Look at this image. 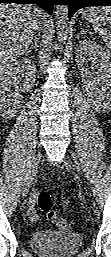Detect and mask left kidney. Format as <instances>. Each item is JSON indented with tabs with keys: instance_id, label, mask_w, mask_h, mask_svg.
Masks as SVG:
<instances>
[{
	"instance_id": "1",
	"label": "left kidney",
	"mask_w": 111,
	"mask_h": 257,
	"mask_svg": "<svg viewBox=\"0 0 111 257\" xmlns=\"http://www.w3.org/2000/svg\"><path fill=\"white\" fill-rule=\"evenodd\" d=\"M76 63L84 75L90 76L88 62L97 69L100 75L93 78L95 84L92 95L99 108L111 107V53L100 44L91 40L80 41L76 47Z\"/></svg>"
}]
</instances>
